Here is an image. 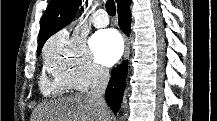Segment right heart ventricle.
Returning <instances> with one entry per match:
<instances>
[{
  "label": "right heart ventricle",
  "instance_id": "obj_1",
  "mask_svg": "<svg viewBox=\"0 0 217 121\" xmlns=\"http://www.w3.org/2000/svg\"><path fill=\"white\" fill-rule=\"evenodd\" d=\"M40 88L46 96L62 95L69 89L65 83L57 80L56 78L50 79L45 74L41 76Z\"/></svg>",
  "mask_w": 217,
  "mask_h": 121
}]
</instances>
